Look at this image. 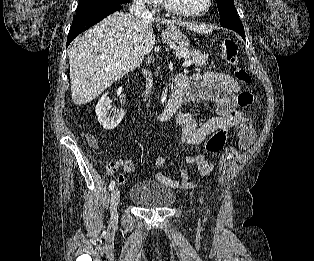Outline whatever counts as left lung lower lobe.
I'll return each instance as SVG.
<instances>
[{
    "label": "left lung lower lobe",
    "instance_id": "0a47b994",
    "mask_svg": "<svg viewBox=\"0 0 314 261\" xmlns=\"http://www.w3.org/2000/svg\"><path fill=\"white\" fill-rule=\"evenodd\" d=\"M238 34L241 35V37L245 40V32H237Z\"/></svg>",
    "mask_w": 314,
    "mask_h": 261
}]
</instances>
